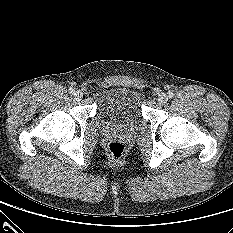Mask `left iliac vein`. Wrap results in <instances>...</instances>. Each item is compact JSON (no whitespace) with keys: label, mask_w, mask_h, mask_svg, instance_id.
<instances>
[{"label":"left iliac vein","mask_w":233,"mask_h":233,"mask_svg":"<svg viewBox=\"0 0 233 233\" xmlns=\"http://www.w3.org/2000/svg\"><path fill=\"white\" fill-rule=\"evenodd\" d=\"M158 101L160 104H165L168 101V96L165 93H161L158 96Z\"/></svg>","instance_id":"4c4485c4"}]
</instances>
